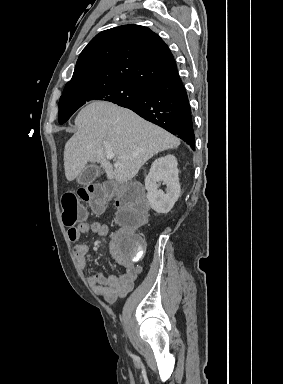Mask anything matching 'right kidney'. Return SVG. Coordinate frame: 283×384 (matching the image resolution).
<instances>
[{
  "instance_id": "right-kidney-1",
  "label": "right kidney",
  "mask_w": 283,
  "mask_h": 384,
  "mask_svg": "<svg viewBox=\"0 0 283 384\" xmlns=\"http://www.w3.org/2000/svg\"><path fill=\"white\" fill-rule=\"evenodd\" d=\"M178 174L177 160L171 154L153 162L150 172L146 176L145 188L147 200L157 214H168L177 202L181 192ZM161 182L167 186L166 194L163 190H158Z\"/></svg>"
}]
</instances>
